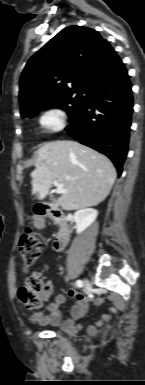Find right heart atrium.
Returning a JSON list of instances; mask_svg holds the SVG:
<instances>
[{
  "mask_svg": "<svg viewBox=\"0 0 145 385\" xmlns=\"http://www.w3.org/2000/svg\"><path fill=\"white\" fill-rule=\"evenodd\" d=\"M38 122L44 133H57L65 127L66 113L60 107H51L41 113Z\"/></svg>",
  "mask_w": 145,
  "mask_h": 385,
  "instance_id": "right-heart-atrium-1",
  "label": "right heart atrium"
}]
</instances>
